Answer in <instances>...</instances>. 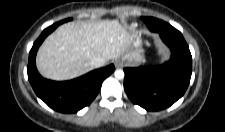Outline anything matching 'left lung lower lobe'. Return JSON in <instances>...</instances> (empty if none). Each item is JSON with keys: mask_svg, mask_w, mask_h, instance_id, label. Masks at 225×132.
<instances>
[{"mask_svg": "<svg viewBox=\"0 0 225 132\" xmlns=\"http://www.w3.org/2000/svg\"><path fill=\"white\" fill-rule=\"evenodd\" d=\"M150 31L159 33L172 54L154 67L125 68L124 90L130 100L147 111L165 109L185 93L192 74V56L182 34L170 24L145 17Z\"/></svg>", "mask_w": 225, "mask_h": 132, "instance_id": "1", "label": "left lung lower lobe"}]
</instances>
